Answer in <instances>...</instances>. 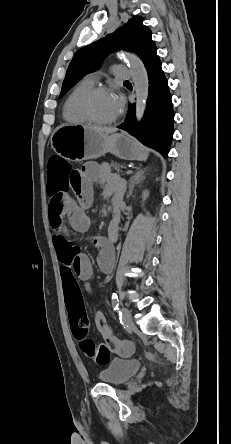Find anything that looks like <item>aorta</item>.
I'll list each match as a JSON object with an SVG mask.
<instances>
[{
	"label": "aorta",
	"mask_w": 231,
	"mask_h": 444,
	"mask_svg": "<svg viewBox=\"0 0 231 444\" xmlns=\"http://www.w3.org/2000/svg\"><path fill=\"white\" fill-rule=\"evenodd\" d=\"M125 59L130 67L136 94L135 115L137 121H140L145 112L146 100L149 93V79L143 62L136 55L127 54Z\"/></svg>",
	"instance_id": "762f6f07"
}]
</instances>
